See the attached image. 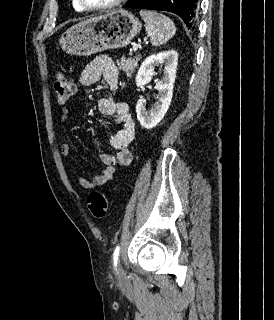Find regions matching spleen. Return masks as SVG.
<instances>
[{
  "instance_id": "obj_1",
  "label": "spleen",
  "mask_w": 274,
  "mask_h": 320,
  "mask_svg": "<svg viewBox=\"0 0 274 320\" xmlns=\"http://www.w3.org/2000/svg\"><path fill=\"white\" fill-rule=\"evenodd\" d=\"M139 14L145 22L146 32L150 36L152 46H161L174 36L176 28L167 16L158 14L154 10H141Z\"/></svg>"
}]
</instances>
